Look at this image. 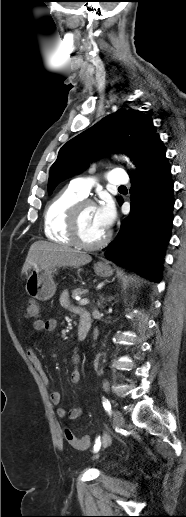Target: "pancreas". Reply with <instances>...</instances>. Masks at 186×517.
<instances>
[{"instance_id":"obj_1","label":"pancreas","mask_w":186,"mask_h":517,"mask_svg":"<svg viewBox=\"0 0 186 517\" xmlns=\"http://www.w3.org/2000/svg\"><path fill=\"white\" fill-rule=\"evenodd\" d=\"M71 293H72V297L75 298L76 296H81L83 294H86L87 290L83 289V288H77V289L72 290Z\"/></svg>"}]
</instances>
